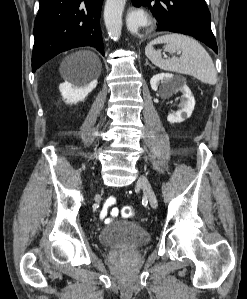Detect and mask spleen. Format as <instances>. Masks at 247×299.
I'll return each mask as SVG.
<instances>
[{"instance_id": "1", "label": "spleen", "mask_w": 247, "mask_h": 299, "mask_svg": "<svg viewBox=\"0 0 247 299\" xmlns=\"http://www.w3.org/2000/svg\"><path fill=\"white\" fill-rule=\"evenodd\" d=\"M155 44H164V50L180 57L163 59L161 50ZM145 55L162 70L191 75L203 83L213 85L217 81L216 70L211 56L195 39L181 34H167L152 40L145 48Z\"/></svg>"}]
</instances>
